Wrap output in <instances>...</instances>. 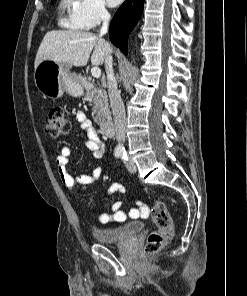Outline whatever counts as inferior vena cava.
Here are the masks:
<instances>
[{"label":"inferior vena cava","mask_w":247,"mask_h":296,"mask_svg":"<svg viewBox=\"0 0 247 296\" xmlns=\"http://www.w3.org/2000/svg\"><path fill=\"white\" fill-rule=\"evenodd\" d=\"M103 25L100 29V36L104 35L108 31L110 14L103 8L101 12ZM113 59L111 53H108L105 58V70L107 74V87L108 95L110 99V105L112 108V113L114 117L115 124V134L118 143L125 142V133H126V118H125V108L123 101L121 99L120 93L117 89V82L114 76L113 71Z\"/></svg>","instance_id":"602c4592"}]
</instances>
